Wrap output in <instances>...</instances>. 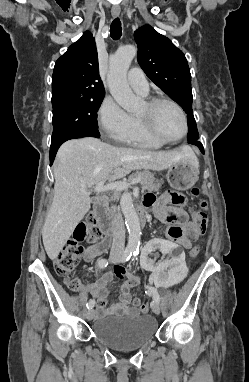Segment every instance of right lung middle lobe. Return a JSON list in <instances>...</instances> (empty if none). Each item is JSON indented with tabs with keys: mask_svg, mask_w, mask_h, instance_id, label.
Masks as SVG:
<instances>
[{
	"mask_svg": "<svg viewBox=\"0 0 249 382\" xmlns=\"http://www.w3.org/2000/svg\"><path fill=\"white\" fill-rule=\"evenodd\" d=\"M103 98L104 96L95 99L68 101L54 105L52 141L72 133H99L96 117Z\"/></svg>",
	"mask_w": 249,
	"mask_h": 382,
	"instance_id": "dd1d6c3e",
	"label": "right lung middle lobe"
}]
</instances>
